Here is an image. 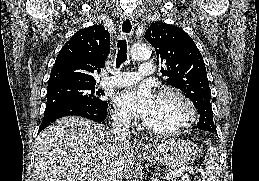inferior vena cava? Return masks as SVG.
Returning <instances> with one entry per match:
<instances>
[{"label":"inferior vena cava","mask_w":259,"mask_h":181,"mask_svg":"<svg viewBox=\"0 0 259 181\" xmlns=\"http://www.w3.org/2000/svg\"><path fill=\"white\" fill-rule=\"evenodd\" d=\"M113 135L116 144V154H113L111 165L107 170L106 181H122L123 169L120 162L119 152H122L130 144V122L127 115H118L113 122Z\"/></svg>","instance_id":"1"}]
</instances>
